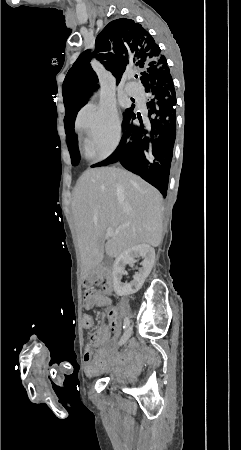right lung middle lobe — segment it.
<instances>
[{
	"instance_id": "obj_1",
	"label": "right lung middle lobe",
	"mask_w": 241,
	"mask_h": 450,
	"mask_svg": "<svg viewBox=\"0 0 241 450\" xmlns=\"http://www.w3.org/2000/svg\"><path fill=\"white\" fill-rule=\"evenodd\" d=\"M94 89L90 83L82 76L69 72L63 82V97L65 106V115L71 112H78L83 107L90 96V92ZM134 110V106L126 109L123 119L130 115ZM71 163L76 166L79 163V151L69 148Z\"/></svg>"
}]
</instances>
